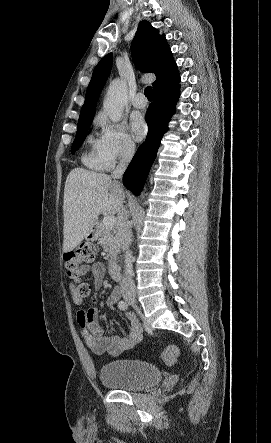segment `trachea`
I'll list each match as a JSON object with an SVG mask.
<instances>
[{
    "label": "trachea",
    "instance_id": "1",
    "mask_svg": "<svg viewBox=\"0 0 271 443\" xmlns=\"http://www.w3.org/2000/svg\"><path fill=\"white\" fill-rule=\"evenodd\" d=\"M144 93L148 100H152V87H146Z\"/></svg>",
    "mask_w": 271,
    "mask_h": 443
}]
</instances>
